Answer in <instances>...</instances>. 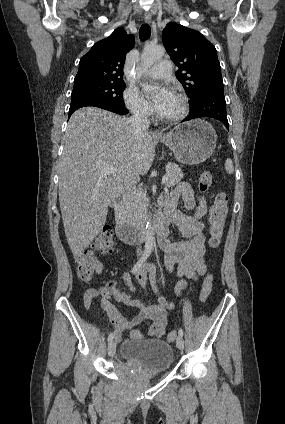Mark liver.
<instances>
[{
  "mask_svg": "<svg viewBox=\"0 0 285 424\" xmlns=\"http://www.w3.org/2000/svg\"><path fill=\"white\" fill-rule=\"evenodd\" d=\"M155 158L148 131L135 134L128 117L84 107L69 119L59 160V202L65 235L74 255L101 232L111 202L145 175ZM105 167L115 174L101 175Z\"/></svg>",
  "mask_w": 285,
  "mask_h": 424,
  "instance_id": "6515ba94",
  "label": "liver"
}]
</instances>
